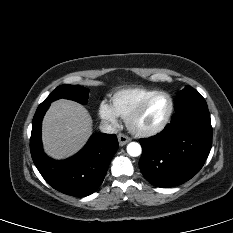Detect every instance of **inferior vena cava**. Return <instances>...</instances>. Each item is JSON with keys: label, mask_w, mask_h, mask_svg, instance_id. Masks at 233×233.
I'll return each mask as SVG.
<instances>
[{"label": "inferior vena cava", "mask_w": 233, "mask_h": 233, "mask_svg": "<svg viewBox=\"0 0 233 233\" xmlns=\"http://www.w3.org/2000/svg\"><path fill=\"white\" fill-rule=\"evenodd\" d=\"M99 128L101 132L107 133V134H116L119 131L116 125L109 124L108 122H101Z\"/></svg>", "instance_id": "obj_1"}]
</instances>
